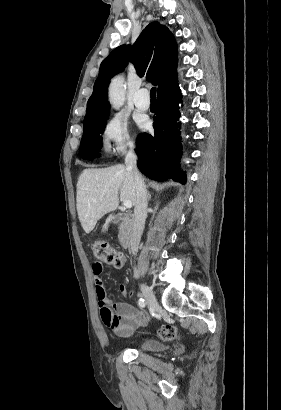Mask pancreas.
<instances>
[{
	"label": "pancreas",
	"instance_id": "cf45deb5",
	"mask_svg": "<svg viewBox=\"0 0 281 410\" xmlns=\"http://www.w3.org/2000/svg\"><path fill=\"white\" fill-rule=\"evenodd\" d=\"M125 234H126V231H125V226H124V223L120 226V228H119V235H118V237H119V240H120V242H124V240H125Z\"/></svg>",
	"mask_w": 281,
	"mask_h": 410
}]
</instances>
